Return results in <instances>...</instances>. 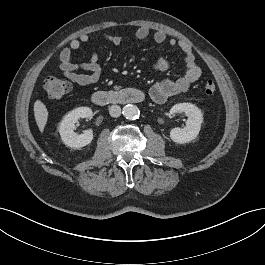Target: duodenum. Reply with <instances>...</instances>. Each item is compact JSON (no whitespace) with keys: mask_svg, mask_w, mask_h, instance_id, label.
<instances>
[{"mask_svg":"<svg viewBox=\"0 0 265 265\" xmlns=\"http://www.w3.org/2000/svg\"><path fill=\"white\" fill-rule=\"evenodd\" d=\"M144 100V94L136 88L112 91H96L92 94V102L98 106L111 104H137Z\"/></svg>","mask_w":265,"mask_h":265,"instance_id":"410a0bca","label":"duodenum"}]
</instances>
